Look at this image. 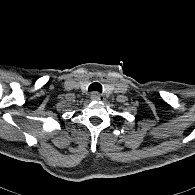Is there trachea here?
I'll list each match as a JSON object with an SVG mask.
<instances>
[{"mask_svg": "<svg viewBox=\"0 0 195 195\" xmlns=\"http://www.w3.org/2000/svg\"><path fill=\"white\" fill-rule=\"evenodd\" d=\"M88 91H97V92H102V86H101V84L100 83H98V82H94V83H92L90 86H89V88H88Z\"/></svg>", "mask_w": 195, "mask_h": 195, "instance_id": "3493384b", "label": "trachea"}]
</instances>
